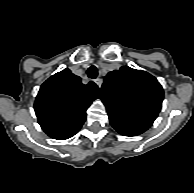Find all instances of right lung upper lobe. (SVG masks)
I'll return each instance as SVG.
<instances>
[{
	"mask_svg": "<svg viewBox=\"0 0 194 193\" xmlns=\"http://www.w3.org/2000/svg\"><path fill=\"white\" fill-rule=\"evenodd\" d=\"M99 97L100 89L94 82L84 85L80 77L64 69L41 85L34 109L45 133L64 140L79 131L87 108Z\"/></svg>",
	"mask_w": 194,
	"mask_h": 193,
	"instance_id": "obj_1",
	"label": "right lung upper lobe"
}]
</instances>
